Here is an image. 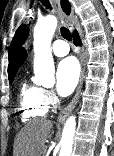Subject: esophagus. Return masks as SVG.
Masks as SVG:
<instances>
[{
  "label": "esophagus",
  "instance_id": "1",
  "mask_svg": "<svg viewBox=\"0 0 114 156\" xmlns=\"http://www.w3.org/2000/svg\"><path fill=\"white\" fill-rule=\"evenodd\" d=\"M50 1L53 4L57 13L59 14V16L62 20V23L64 25H66L70 30H73V25L70 22V16H68L63 11V9L60 5V0H50ZM78 57L80 60V65H81L80 79H79L74 97L72 98L70 103L60 112V114L58 116V119H57L58 124L62 123L67 118V116L72 112V110L76 106V104L79 100V97H80V92L82 89L84 72H85V57H84L83 49H81V48L78 49Z\"/></svg>",
  "mask_w": 114,
  "mask_h": 156
}]
</instances>
